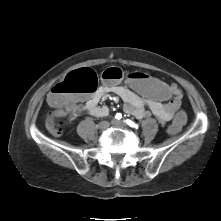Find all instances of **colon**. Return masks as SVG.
I'll use <instances>...</instances> for the list:
<instances>
[{
	"label": "colon",
	"mask_w": 221,
	"mask_h": 221,
	"mask_svg": "<svg viewBox=\"0 0 221 221\" xmlns=\"http://www.w3.org/2000/svg\"><path fill=\"white\" fill-rule=\"evenodd\" d=\"M122 77V71L118 68H109L102 74V78L107 82H116ZM97 86L98 77L92 69L75 70L52 88L48 96L49 104L63 115L70 113L68 110L74 105L75 100L81 95L94 93ZM122 86L162 104H169L176 97V90L173 85L162 82L154 75L137 72L135 69H128L125 72ZM187 123L188 113L186 109L182 107L175 109L170 121L171 126L166 130L167 135L171 138L176 137L179 131L186 127Z\"/></svg>",
	"instance_id": "1"
}]
</instances>
